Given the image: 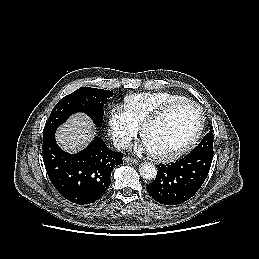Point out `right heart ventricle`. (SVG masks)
Segmentation results:
<instances>
[{"instance_id": "e07e8e85", "label": "right heart ventricle", "mask_w": 259, "mask_h": 259, "mask_svg": "<svg viewBox=\"0 0 259 259\" xmlns=\"http://www.w3.org/2000/svg\"><path fill=\"white\" fill-rule=\"evenodd\" d=\"M186 99L170 92L138 93L125 97V108L132 122L139 128L142 123L164 105Z\"/></svg>"}]
</instances>
